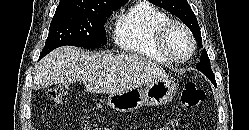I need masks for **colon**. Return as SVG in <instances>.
<instances>
[{"label":"colon","mask_w":249,"mask_h":130,"mask_svg":"<svg viewBox=\"0 0 249 130\" xmlns=\"http://www.w3.org/2000/svg\"><path fill=\"white\" fill-rule=\"evenodd\" d=\"M47 98L56 105H64L68 100V89L64 85H57L47 91ZM206 97L205 90L196 82L185 84L181 93V104L184 108L192 109L198 107ZM85 130H110L109 127L89 122L82 124ZM155 130H174V124L168 123Z\"/></svg>","instance_id":"1"}]
</instances>
